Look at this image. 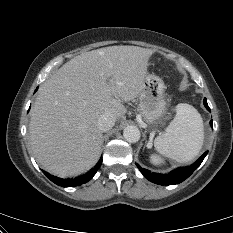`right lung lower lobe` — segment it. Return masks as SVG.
I'll return each mask as SVG.
<instances>
[{
	"mask_svg": "<svg viewBox=\"0 0 233 233\" xmlns=\"http://www.w3.org/2000/svg\"><path fill=\"white\" fill-rule=\"evenodd\" d=\"M102 163V159L99 160L98 164L89 172H87L84 175H81L75 179H62L58 178L56 176H53L46 171H43V173L55 184L62 186V187H73V186H79L81 184H84L88 182L90 179L93 178L97 170L99 169L100 165Z\"/></svg>",
	"mask_w": 233,
	"mask_h": 233,
	"instance_id": "right-lung-lower-lobe-1",
	"label": "right lung lower lobe"
}]
</instances>
